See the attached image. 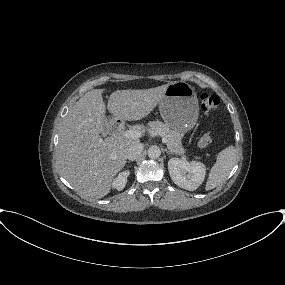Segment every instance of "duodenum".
Masks as SVG:
<instances>
[{
    "label": "duodenum",
    "mask_w": 285,
    "mask_h": 285,
    "mask_svg": "<svg viewBox=\"0 0 285 285\" xmlns=\"http://www.w3.org/2000/svg\"><path fill=\"white\" fill-rule=\"evenodd\" d=\"M124 129V124L120 120H115L111 124V132L114 135H119Z\"/></svg>",
    "instance_id": "duodenum-1"
}]
</instances>
